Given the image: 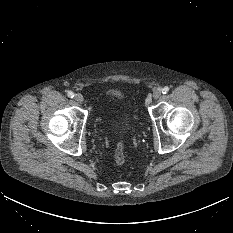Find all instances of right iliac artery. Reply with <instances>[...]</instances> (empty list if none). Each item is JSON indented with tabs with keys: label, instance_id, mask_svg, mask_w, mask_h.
Returning a JSON list of instances; mask_svg holds the SVG:
<instances>
[{
	"label": "right iliac artery",
	"instance_id": "right-iliac-artery-1",
	"mask_svg": "<svg viewBox=\"0 0 233 233\" xmlns=\"http://www.w3.org/2000/svg\"><path fill=\"white\" fill-rule=\"evenodd\" d=\"M68 97L73 98L74 97V93L72 91H68L67 93Z\"/></svg>",
	"mask_w": 233,
	"mask_h": 233
}]
</instances>
